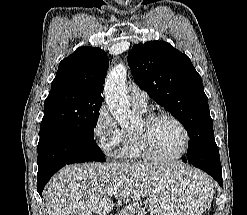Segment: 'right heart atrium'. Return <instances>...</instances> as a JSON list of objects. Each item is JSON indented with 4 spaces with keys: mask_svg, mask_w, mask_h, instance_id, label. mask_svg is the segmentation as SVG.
<instances>
[{
    "mask_svg": "<svg viewBox=\"0 0 247 215\" xmlns=\"http://www.w3.org/2000/svg\"><path fill=\"white\" fill-rule=\"evenodd\" d=\"M93 136L106 156L118 157L123 130L118 126L105 105H102L97 111L93 125Z\"/></svg>",
    "mask_w": 247,
    "mask_h": 215,
    "instance_id": "d8ad5b80",
    "label": "right heart atrium"
}]
</instances>
